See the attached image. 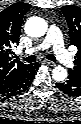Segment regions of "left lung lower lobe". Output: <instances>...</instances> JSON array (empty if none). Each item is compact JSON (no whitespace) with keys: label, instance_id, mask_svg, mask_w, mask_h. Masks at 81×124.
I'll return each instance as SVG.
<instances>
[{"label":"left lung lower lobe","instance_id":"left-lung-lower-lobe-1","mask_svg":"<svg viewBox=\"0 0 81 124\" xmlns=\"http://www.w3.org/2000/svg\"><path fill=\"white\" fill-rule=\"evenodd\" d=\"M56 87L69 96H81V79L69 72L68 80L56 83Z\"/></svg>","mask_w":81,"mask_h":124}]
</instances>
